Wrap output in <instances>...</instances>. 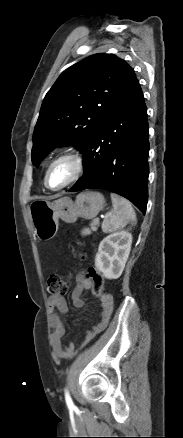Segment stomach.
<instances>
[{
	"label": "stomach",
	"mask_w": 183,
	"mask_h": 438,
	"mask_svg": "<svg viewBox=\"0 0 183 438\" xmlns=\"http://www.w3.org/2000/svg\"><path fill=\"white\" fill-rule=\"evenodd\" d=\"M104 204L102 194L86 191L80 193L75 202L69 197L53 202L35 200L29 206V215L37 238L48 241L56 235L59 219L66 223H74L78 217L92 219L103 209Z\"/></svg>",
	"instance_id": "obj_1"
}]
</instances>
